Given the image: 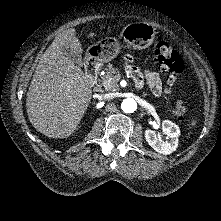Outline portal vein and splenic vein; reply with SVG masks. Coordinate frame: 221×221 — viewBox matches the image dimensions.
Returning <instances> with one entry per match:
<instances>
[{"label": "portal vein and splenic vein", "mask_w": 221, "mask_h": 221, "mask_svg": "<svg viewBox=\"0 0 221 221\" xmlns=\"http://www.w3.org/2000/svg\"><path fill=\"white\" fill-rule=\"evenodd\" d=\"M111 82H112V78H110V79L107 81V84L109 85V84H111Z\"/></svg>", "instance_id": "1"}]
</instances>
